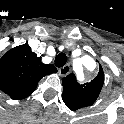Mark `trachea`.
<instances>
[{"label":"trachea","instance_id":"obj_1","mask_svg":"<svg viewBox=\"0 0 124 124\" xmlns=\"http://www.w3.org/2000/svg\"><path fill=\"white\" fill-rule=\"evenodd\" d=\"M67 61V56L65 53H59L55 58V65L56 67H63Z\"/></svg>","mask_w":124,"mask_h":124}]
</instances>
